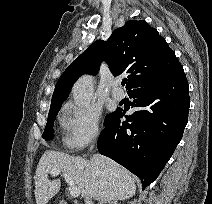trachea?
<instances>
[{
  "label": "trachea",
  "mask_w": 212,
  "mask_h": 204,
  "mask_svg": "<svg viewBox=\"0 0 212 204\" xmlns=\"http://www.w3.org/2000/svg\"><path fill=\"white\" fill-rule=\"evenodd\" d=\"M127 80L126 79H123L122 80V86H124L126 84Z\"/></svg>",
  "instance_id": "trachea-1"
}]
</instances>
